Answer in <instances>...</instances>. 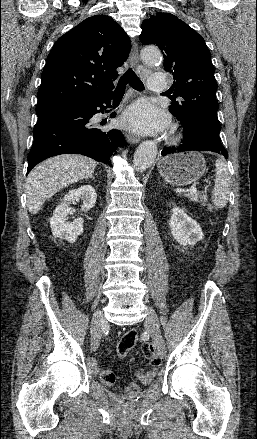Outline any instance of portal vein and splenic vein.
Masks as SVG:
<instances>
[{"label": "portal vein and splenic vein", "mask_w": 257, "mask_h": 439, "mask_svg": "<svg viewBox=\"0 0 257 439\" xmlns=\"http://www.w3.org/2000/svg\"><path fill=\"white\" fill-rule=\"evenodd\" d=\"M189 192H190V194H196V192H197L196 187L189 188Z\"/></svg>", "instance_id": "18ae733b"}]
</instances>
